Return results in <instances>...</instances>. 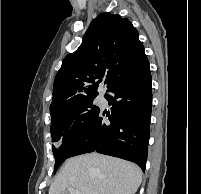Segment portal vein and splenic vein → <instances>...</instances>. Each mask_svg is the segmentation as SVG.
I'll list each match as a JSON object with an SVG mask.
<instances>
[{"label": "portal vein and splenic vein", "mask_w": 201, "mask_h": 194, "mask_svg": "<svg viewBox=\"0 0 201 194\" xmlns=\"http://www.w3.org/2000/svg\"><path fill=\"white\" fill-rule=\"evenodd\" d=\"M67 190L69 191L70 194H81V192L69 187L67 188Z\"/></svg>", "instance_id": "obj_1"}]
</instances>
